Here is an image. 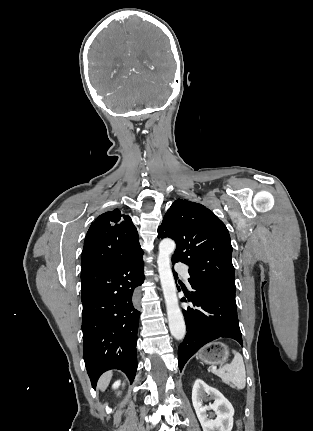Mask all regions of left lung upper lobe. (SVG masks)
Instances as JSON below:
<instances>
[{
    "mask_svg": "<svg viewBox=\"0 0 313 431\" xmlns=\"http://www.w3.org/2000/svg\"><path fill=\"white\" fill-rule=\"evenodd\" d=\"M158 237L176 242L172 262L190 269L193 286L218 289L235 295L232 246L224 223L205 206L176 200L158 228Z\"/></svg>",
    "mask_w": 313,
    "mask_h": 431,
    "instance_id": "1",
    "label": "left lung upper lobe"
}]
</instances>
